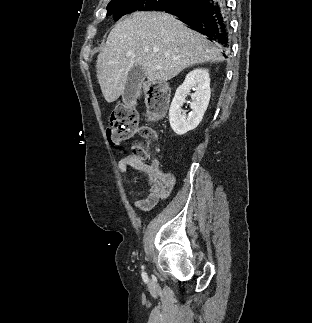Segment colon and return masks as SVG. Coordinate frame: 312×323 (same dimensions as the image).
Returning a JSON list of instances; mask_svg holds the SVG:
<instances>
[{
    "label": "colon",
    "instance_id": "colon-1",
    "mask_svg": "<svg viewBox=\"0 0 312 323\" xmlns=\"http://www.w3.org/2000/svg\"><path fill=\"white\" fill-rule=\"evenodd\" d=\"M149 103L151 108L149 110V118L152 121L158 120L164 113L167 106L169 91L162 81H155L150 85ZM110 124L107 128V141L111 146H118L124 141L132 138L136 133L146 140H153L155 132L149 128L144 127L138 129L139 115L136 107L130 103L118 104L110 113ZM131 155L141 161H145L150 157L149 147L146 143H137L131 149Z\"/></svg>",
    "mask_w": 312,
    "mask_h": 323
}]
</instances>
